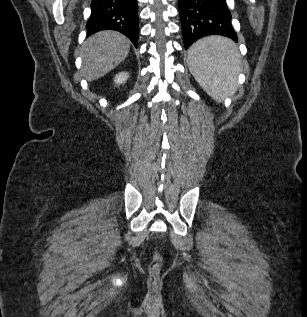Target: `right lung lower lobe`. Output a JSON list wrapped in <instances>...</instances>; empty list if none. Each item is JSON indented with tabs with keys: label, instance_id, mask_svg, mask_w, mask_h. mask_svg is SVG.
<instances>
[{
	"label": "right lung lower lobe",
	"instance_id": "obj_1",
	"mask_svg": "<svg viewBox=\"0 0 307 317\" xmlns=\"http://www.w3.org/2000/svg\"><path fill=\"white\" fill-rule=\"evenodd\" d=\"M91 16L86 24L88 35L115 30L126 35L138 47L137 0H92Z\"/></svg>",
	"mask_w": 307,
	"mask_h": 317
}]
</instances>
